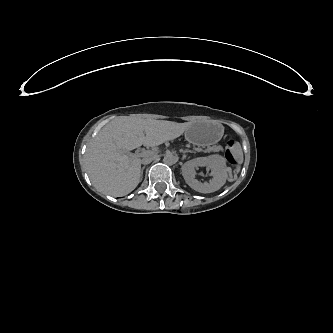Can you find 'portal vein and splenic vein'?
<instances>
[{
	"label": "portal vein and splenic vein",
	"instance_id": "obj_1",
	"mask_svg": "<svg viewBox=\"0 0 333 333\" xmlns=\"http://www.w3.org/2000/svg\"><path fill=\"white\" fill-rule=\"evenodd\" d=\"M150 155H152V151L151 150H144L141 153H139L140 157H149Z\"/></svg>",
	"mask_w": 333,
	"mask_h": 333
}]
</instances>
